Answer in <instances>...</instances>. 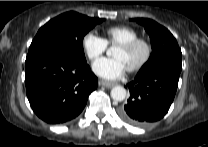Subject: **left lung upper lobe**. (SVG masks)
I'll return each mask as SVG.
<instances>
[{
  "mask_svg": "<svg viewBox=\"0 0 208 147\" xmlns=\"http://www.w3.org/2000/svg\"><path fill=\"white\" fill-rule=\"evenodd\" d=\"M144 26L150 36L152 53L138 74L146 73L160 66H171L181 71L182 53L174 36L168 29L147 18L134 19Z\"/></svg>",
  "mask_w": 208,
  "mask_h": 147,
  "instance_id": "1",
  "label": "left lung upper lobe"
}]
</instances>
